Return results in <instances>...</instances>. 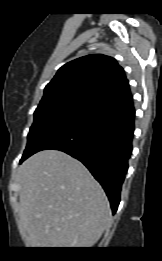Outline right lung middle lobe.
<instances>
[{
	"mask_svg": "<svg viewBox=\"0 0 162 261\" xmlns=\"http://www.w3.org/2000/svg\"><path fill=\"white\" fill-rule=\"evenodd\" d=\"M98 100L81 92H67L43 97L36 111L28 134L23 155L34 151L49 134L69 121L100 106Z\"/></svg>",
	"mask_w": 162,
	"mask_h": 261,
	"instance_id": "1",
	"label": "right lung middle lobe"
}]
</instances>
